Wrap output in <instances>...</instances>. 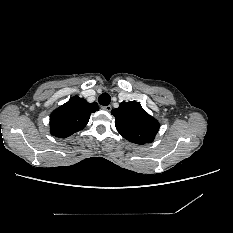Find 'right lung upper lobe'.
<instances>
[{"mask_svg": "<svg viewBox=\"0 0 233 233\" xmlns=\"http://www.w3.org/2000/svg\"><path fill=\"white\" fill-rule=\"evenodd\" d=\"M99 110L96 102L88 103L79 96L54 110L50 116L51 134L58 138H66L83 129L89 121L91 113Z\"/></svg>", "mask_w": 233, "mask_h": 233, "instance_id": "right-lung-upper-lobe-1", "label": "right lung upper lobe"}]
</instances>
